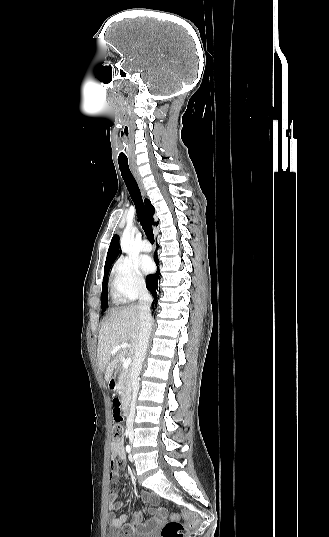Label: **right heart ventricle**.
<instances>
[{"label":"right heart ventricle","mask_w":329,"mask_h":537,"mask_svg":"<svg viewBox=\"0 0 329 537\" xmlns=\"http://www.w3.org/2000/svg\"><path fill=\"white\" fill-rule=\"evenodd\" d=\"M112 295H113V298H114V299L118 300V299L116 298L114 292H112Z\"/></svg>","instance_id":"right-heart-ventricle-1"}]
</instances>
